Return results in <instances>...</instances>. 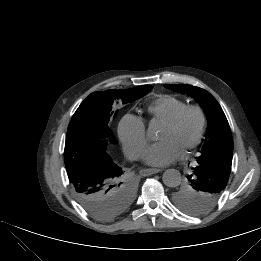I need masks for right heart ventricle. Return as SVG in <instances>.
I'll return each instance as SVG.
<instances>
[{
  "label": "right heart ventricle",
  "instance_id": "1",
  "mask_svg": "<svg viewBox=\"0 0 261 261\" xmlns=\"http://www.w3.org/2000/svg\"><path fill=\"white\" fill-rule=\"evenodd\" d=\"M185 105L187 103L180 98L164 95L155 99L148 106L147 111L153 118L167 121Z\"/></svg>",
  "mask_w": 261,
  "mask_h": 261
}]
</instances>
